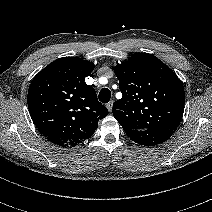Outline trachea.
Instances as JSON below:
<instances>
[{
  "instance_id": "obj_1",
  "label": "trachea",
  "mask_w": 212,
  "mask_h": 212,
  "mask_svg": "<svg viewBox=\"0 0 212 212\" xmlns=\"http://www.w3.org/2000/svg\"><path fill=\"white\" fill-rule=\"evenodd\" d=\"M99 100L102 103H108L111 98V92L108 88H103L99 93Z\"/></svg>"
}]
</instances>
